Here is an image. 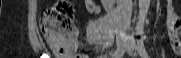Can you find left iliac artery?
<instances>
[{
	"label": "left iliac artery",
	"instance_id": "44dca946",
	"mask_svg": "<svg viewBox=\"0 0 181 58\" xmlns=\"http://www.w3.org/2000/svg\"><path fill=\"white\" fill-rule=\"evenodd\" d=\"M137 50L141 57L148 58V54H147L145 46H144V37L143 36H141V38L137 41Z\"/></svg>",
	"mask_w": 181,
	"mask_h": 58
}]
</instances>
